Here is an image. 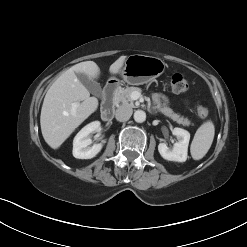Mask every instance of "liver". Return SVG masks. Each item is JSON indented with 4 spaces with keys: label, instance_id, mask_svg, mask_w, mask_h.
I'll use <instances>...</instances> for the list:
<instances>
[{
    "label": "liver",
    "instance_id": "1",
    "mask_svg": "<svg viewBox=\"0 0 247 247\" xmlns=\"http://www.w3.org/2000/svg\"><path fill=\"white\" fill-rule=\"evenodd\" d=\"M126 56H121L109 68L117 74ZM84 73L90 79L98 78L100 68L93 61H85L65 71L47 91L40 116L41 131L46 143L59 148L73 131L98 108V99L90 97L88 89L79 81L77 74ZM79 103L73 109V103Z\"/></svg>",
    "mask_w": 247,
    "mask_h": 247
}]
</instances>
